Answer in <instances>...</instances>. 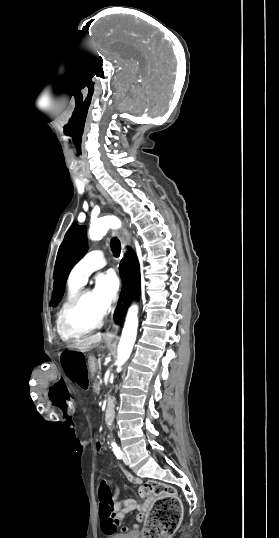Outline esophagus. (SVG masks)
<instances>
[{
    "label": "esophagus",
    "mask_w": 279,
    "mask_h": 538,
    "mask_svg": "<svg viewBox=\"0 0 279 538\" xmlns=\"http://www.w3.org/2000/svg\"><path fill=\"white\" fill-rule=\"evenodd\" d=\"M96 186H97L98 190L102 193V195L107 200H109V197H108L107 193L101 187V185L96 184ZM119 233H120V239H121L122 248H123V251L125 252L126 251V246L130 243V235H129V232H128V230H127V228L125 226H123L120 229ZM114 309H115V307L113 308L112 313L114 312ZM117 333H118V326L115 325L113 321H111L110 324L108 325L105 333L103 334V337H104V339H113V338L117 337Z\"/></svg>",
    "instance_id": "1"
}]
</instances>
